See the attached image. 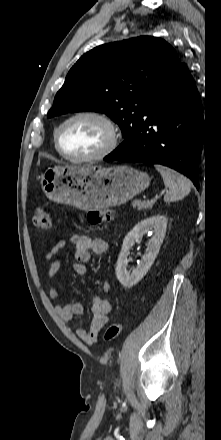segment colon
<instances>
[{
    "instance_id": "1",
    "label": "colon",
    "mask_w": 221,
    "mask_h": 440,
    "mask_svg": "<svg viewBox=\"0 0 221 440\" xmlns=\"http://www.w3.org/2000/svg\"><path fill=\"white\" fill-rule=\"evenodd\" d=\"M115 215L109 209L89 210L85 213V220L90 225H100L102 223L113 221ZM34 225L39 230L48 231L52 228V220L48 210L38 208L34 215ZM122 330V323L119 320L112 322L104 335L106 342L114 341Z\"/></svg>"
}]
</instances>
